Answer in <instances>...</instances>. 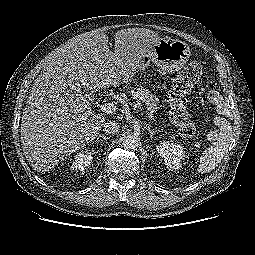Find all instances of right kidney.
Wrapping results in <instances>:
<instances>
[{"mask_svg":"<svg viewBox=\"0 0 255 255\" xmlns=\"http://www.w3.org/2000/svg\"><path fill=\"white\" fill-rule=\"evenodd\" d=\"M92 155L88 151H82L74 156L70 165V170L73 172L83 171L92 162Z\"/></svg>","mask_w":255,"mask_h":255,"instance_id":"obj_1","label":"right kidney"}]
</instances>
